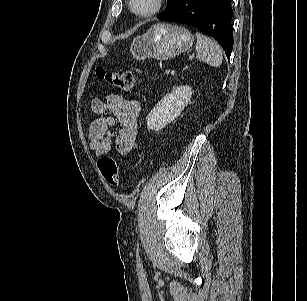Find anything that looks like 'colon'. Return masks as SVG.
I'll use <instances>...</instances> for the list:
<instances>
[{
    "label": "colon",
    "instance_id": "1",
    "mask_svg": "<svg viewBox=\"0 0 307 301\" xmlns=\"http://www.w3.org/2000/svg\"><path fill=\"white\" fill-rule=\"evenodd\" d=\"M95 75L108 85L122 90H131L139 84L132 72H115L98 66ZM97 165L105 180L114 187L118 186L120 168L116 160L110 156H103Z\"/></svg>",
    "mask_w": 307,
    "mask_h": 301
}]
</instances>
